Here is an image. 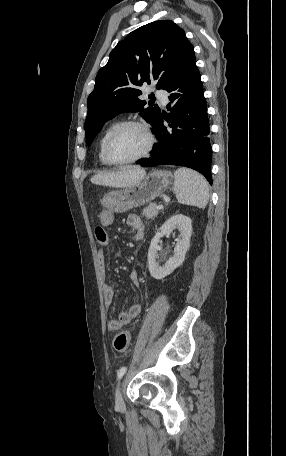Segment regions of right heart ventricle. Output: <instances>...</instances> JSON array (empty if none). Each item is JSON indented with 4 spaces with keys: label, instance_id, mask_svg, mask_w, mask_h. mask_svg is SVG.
Segmentation results:
<instances>
[{
    "label": "right heart ventricle",
    "instance_id": "obj_1",
    "mask_svg": "<svg viewBox=\"0 0 286 456\" xmlns=\"http://www.w3.org/2000/svg\"><path fill=\"white\" fill-rule=\"evenodd\" d=\"M119 124V121H114L112 123H110L106 128L105 130L103 131L100 139H99V144H98V158H99V161L103 164V165H110L106 160H105V157H104V145H105V141L108 137V135L111 133V131Z\"/></svg>",
    "mask_w": 286,
    "mask_h": 456
}]
</instances>
